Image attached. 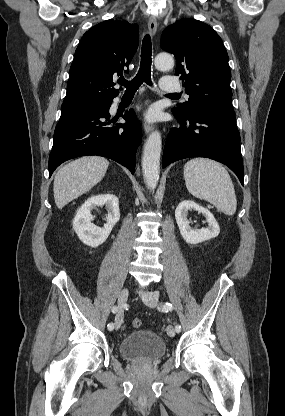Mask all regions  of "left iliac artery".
I'll list each match as a JSON object with an SVG mask.
<instances>
[{
    "label": "left iliac artery",
    "instance_id": "44dca946",
    "mask_svg": "<svg viewBox=\"0 0 285 416\" xmlns=\"http://www.w3.org/2000/svg\"><path fill=\"white\" fill-rule=\"evenodd\" d=\"M172 309H173V306L169 302L163 303L161 308H160V310L163 311V312H168V311H171ZM175 330L177 331V333H179L181 331V326L176 325Z\"/></svg>",
    "mask_w": 285,
    "mask_h": 416
}]
</instances>
